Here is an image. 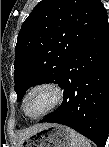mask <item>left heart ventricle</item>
<instances>
[{"mask_svg":"<svg viewBox=\"0 0 109 147\" xmlns=\"http://www.w3.org/2000/svg\"><path fill=\"white\" fill-rule=\"evenodd\" d=\"M52 94L49 91H36L27 99V110L32 115L42 112L51 102Z\"/></svg>","mask_w":109,"mask_h":147,"instance_id":"b2bd125f","label":"left heart ventricle"}]
</instances>
